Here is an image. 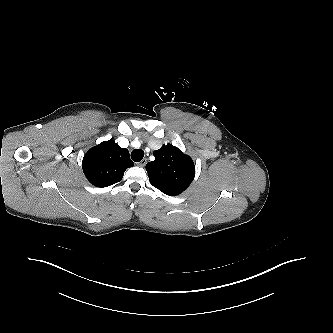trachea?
Segmentation results:
<instances>
[{"instance_id": "obj_1", "label": "trachea", "mask_w": 333, "mask_h": 333, "mask_svg": "<svg viewBox=\"0 0 333 333\" xmlns=\"http://www.w3.org/2000/svg\"><path fill=\"white\" fill-rule=\"evenodd\" d=\"M143 157H144V151L141 149H134L131 152V159L134 162H140L143 159Z\"/></svg>"}]
</instances>
